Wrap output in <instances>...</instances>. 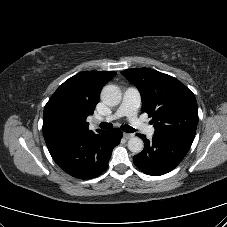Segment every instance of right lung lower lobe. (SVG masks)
Masks as SVG:
<instances>
[{"label": "right lung lower lobe", "instance_id": "right-lung-lower-lobe-1", "mask_svg": "<svg viewBox=\"0 0 227 227\" xmlns=\"http://www.w3.org/2000/svg\"><path fill=\"white\" fill-rule=\"evenodd\" d=\"M122 138L119 129L90 131L47 144L48 150L69 175L79 179H91L102 174L108 167L112 150Z\"/></svg>", "mask_w": 227, "mask_h": 227}]
</instances>
